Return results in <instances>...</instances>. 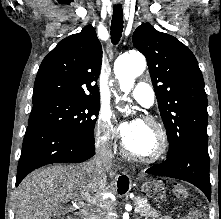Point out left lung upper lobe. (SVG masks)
<instances>
[{
    "label": "left lung upper lobe",
    "mask_w": 221,
    "mask_h": 219,
    "mask_svg": "<svg viewBox=\"0 0 221 219\" xmlns=\"http://www.w3.org/2000/svg\"><path fill=\"white\" fill-rule=\"evenodd\" d=\"M133 45L147 59L158 106L169 141L168 155L191 142L208 143L207 96L198 62L175 37L143 23L133 34Z\"/></svg>",
    "instance_id": "left-lung-upper-lobe-1"
}]
</instances>
